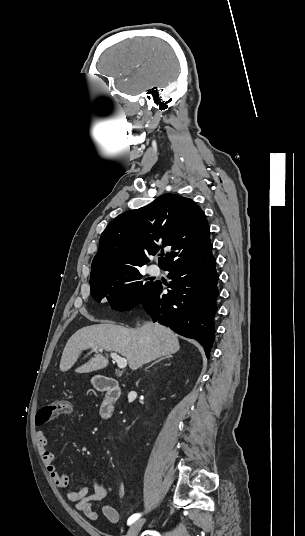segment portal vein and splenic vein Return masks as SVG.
Segmentation results:
<instances>
[{
  "label": "portal vein and splenic vein",
  "instance_id": "obj_1",
  "mask_svg": "<svg viewBox=\"0 0 305 536\" xmlns=\"http://www.w3.org/2000/svg\"><path fill=\"white\" fill-rule=\"evenodd\" d=\"M92 352H103V350H99V348H93ZM112 360H115L117 362L118 368H126L127 366V360L126 358H120L118 354H110Z\"/></svg>",
  "mask_w": 305,
  "mask_h": 536
}]
</instances>
